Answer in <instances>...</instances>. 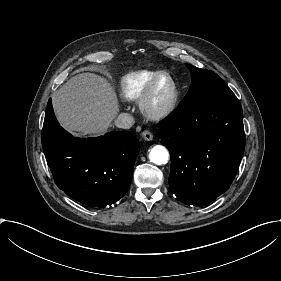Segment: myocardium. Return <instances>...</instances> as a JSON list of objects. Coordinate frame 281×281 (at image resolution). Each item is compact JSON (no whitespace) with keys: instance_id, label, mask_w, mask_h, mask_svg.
Instances as JSON below:
<instances>
[{"instance_id":"1","label":"myocardium","mask_w":281,"mask_h":281,"mask_svg":"<svg viewBox=\"0 0 281 281\" xmlns=\"http://www.w3.org/2000/svg\"><path fill=\"white\" fill-rule=\"evenodd\" d=\"M164 79H168L172 85V93L168 102L163 106H156L154 94L158 84ZM178 85L175 78L169 73H161L155 77L147 86L139 98V109L144 117L151 120H160L168 117L174 111L178 101Z\"/></svg>"}]
</instances>
